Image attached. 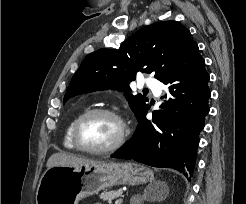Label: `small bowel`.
I'll return each instance as SVG.
<instances>
[{"mask_svg": "<svg viewBox=\"0 0 246 204\" xmlns=\"http://www.w3.org/2000/svg\"><path fill=\"white\" fill-rule=\"evenodd\" d=\"M93 204H101V203H93Z\"/></svg>", "mask_w": 246, "mask_h": 204, "instance_id": "obj_1", "label": "small bowel"}]
</instances>
